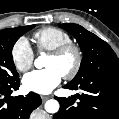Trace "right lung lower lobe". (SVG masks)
Instances as JSON below:
<instances>
[{"instance_id": "98d812e1", "label": "right lung lower lobe", "mask_w": 119, "mask_h": 119, "mask_svg": "<svg viewBox=\"0 0 119 119\" xmlns=\"http://www.w3.org/2000/svg\"><path fill=\"white\" fill-rule=\"evenodd\" d=\"M20 86L17 78L12 81H0V119H29L31 112L41 104L38 94L30 92L26 97H11L13 90Z\"/></svg>"}]
</instances>
